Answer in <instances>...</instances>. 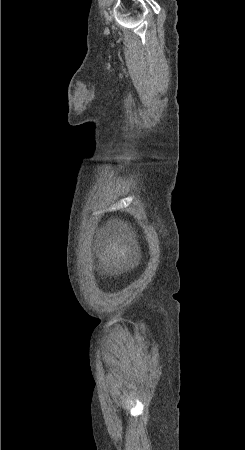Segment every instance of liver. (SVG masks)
<instances>
[{
    "label": "liver",
    "instance_id": "obj_1",
    "mask_svg": "<svg viewBox=\"0 0 245 450\" xmlns=\"http://www.w3.org/2000/svg\"><path fill=\"white\" fill-rule=\"evenodd\" d=\"M128 253L129 247L127 245L121 244L120 239H113L105 251L98 254V258L104 265L109 264L111 259L118 265L120 262L127 261Z\"/></svg>",
    "mask_w": 245,
    "mask_h": 450
}]
</instances>
